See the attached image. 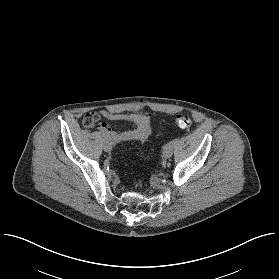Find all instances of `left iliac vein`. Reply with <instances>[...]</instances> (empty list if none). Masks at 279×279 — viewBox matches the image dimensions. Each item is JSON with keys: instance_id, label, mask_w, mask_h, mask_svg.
<instances>
[{"instance_id": "1", "label": "left iliac vein", "mask_w": 279, "mask_h": 279, "mask_svg": "<svg viewBox=\"0 0 279 279\" xmlns=\"http://www.w3.org/2000/svg\"><path fill=\"white\" fill-rule=\"evenodd\" d=\"M172 155H173V149H172L171 147H170V148H165V149L163 150V157H164L165 159L170 158Z\"/></svg>"}]
</instances>
